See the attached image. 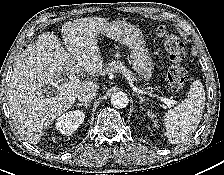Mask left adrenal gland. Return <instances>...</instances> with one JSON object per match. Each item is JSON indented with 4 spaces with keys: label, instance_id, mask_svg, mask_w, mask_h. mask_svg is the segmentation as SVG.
Wrapping results in <instances>:
<instances>
[{
    "label": "left adrenal gland",
    "instance_id": "1",
    "mask_svg": "<svg viewBox=\"0 0 224 175\" xmlns=\"http://www.w3.org/2000/svg\"><path fill=\"white\" fill-rule=\"evenodd\" d=\"M136 95H137V97L140 99V103H142V102H144V101L146 100L145 97H142V96L139 95V94H136Z\"/></svg>",
    "mask_w": 224,
    "mask_h": 175
}]
</instances>
